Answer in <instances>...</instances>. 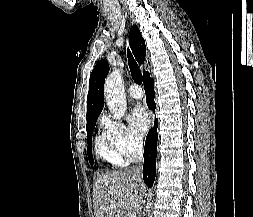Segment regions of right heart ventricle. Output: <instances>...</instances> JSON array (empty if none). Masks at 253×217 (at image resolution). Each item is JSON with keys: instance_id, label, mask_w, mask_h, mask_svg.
<instances>
[{"instance_id": "right-heart-ventricle-1", "label": "right heart ventricle", "mask_w": 253, "mask_h": 217, "mask_svg": "<svg viewBox=\"0 0 253 217\" xmlns=\"http://www.w3.org/2000/svg\"><path fill=\"white\" fill-rule=\"evenodd\" d=\"M95 152L100 159L114 166L123 167L126 164L125 158L120 154L105 132L96 135Z\"/></svg>"}]
</instances>
